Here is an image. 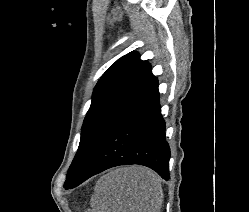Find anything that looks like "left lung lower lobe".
Returning <instances> with one entry per match:
<instances>
[{"label": "left lung lower lobe", "mask_w": 249, "mask_h": 212, "mask_svg": "<svg viewBox=\"0 0 249 212\" xmlns=\"http://www.w3.org/2000/svg\"><path fill=\"white\" fill-rule=\"evenodd\" d=\"M160 112L155 78L112 126L77 180L64 188H74L106 169L126 164L147 166L168 180L170 148Z\"/></svg>", "instance_id": "obj_1"}]
</instances>
